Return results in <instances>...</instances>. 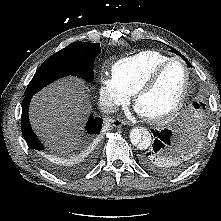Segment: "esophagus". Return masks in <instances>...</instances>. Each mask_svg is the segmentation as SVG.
<instances>
[{
  "instance_id": "1",
  "label": "esophagus",
  "mask_w": 221,
  "mask_h": 221,
  "mask_svg": "<svg viewBox=\"0 0 221 221\" xmlns=\"http://www.w3.org/2000/svg\"><path fill=\"white\" fill-rule=\"evenodd\" d=\"M126 124H127V122L123 121L121 119H114V120H112V125L114 127H121V126L126 125Z\"/></svg>"
}]
</instances>
